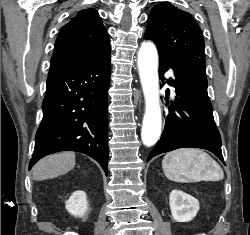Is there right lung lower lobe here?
I'll use <instances>...</instances> for the list:
<instances>
[{"mask_svg": "<svg viewBox=\"0 0 250 235\" xmlns=\"http://www.w3.org/2000/svg\"><path fill=\"white\" fill-rule=\"evenodd\" d=\"M110 52L108 47L83 64L48 73L29 170L46 155L76 151L95 159L108 174Z\"/></svg>", "mask_w": 250, "mask_h": 235, "instance_id": "1", "label": "right lung lower lobe"}]
</instances>
